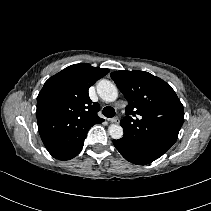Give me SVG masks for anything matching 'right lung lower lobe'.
I'll return each instance as SVG.
<instances>
[{
    "instance_id": "obj_1",
    "label": "right lung lower lobe",
    "mask_w": 211,
    "mask_h": 211,
    "mask_svg": "<svg viewBox=\"0 0 211 211\" xmlns=\"http://www.w3.org/2000/svg\"><path fill=\"white\" fill-rule=\"evenodd\" d=\"M85 137H86V136H85ZM85 137H84L83 140L81 141L79 148H78L77 151L74 153V155L72 156V158L75 157L76 155H78L79 152L82 150L83 142H84ZM72 158H71V159H72Z\"/></svg>"
}]
</instances>
